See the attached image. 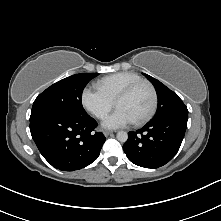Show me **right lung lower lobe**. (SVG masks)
<instances>
[{
	"mask_svg": "<svg viewBox=\"0 0 221 221\" xmlns=\"http://www.w3.org/2000/svg\"><path fill=\"white\" fill-rule=\"evenodd\" d=\"M96 126L87 113L54 112L30 118L31 135L40 153L62 171L84 168L98 158L105 137L94 132Z\"/></svg>",
	"mask_w": 221,
	"mask_h": 221,
	"instance_id": "98d812e1",
	"label": "right lung lower lobe"
}]
</instances>
